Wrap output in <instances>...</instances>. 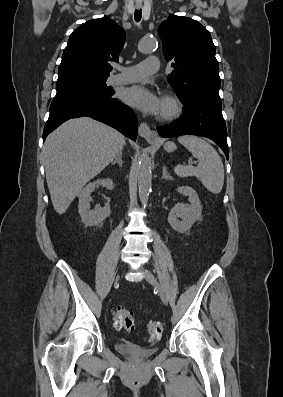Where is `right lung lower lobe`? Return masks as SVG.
<instances>
[{"instance_id":"obj_1","label":"right lung lower lobe","mask_w":283,"mask_h":397,"mask_svg":"<svg viewBox=\"0 0 283 397\" xmlns=\"http://www.w3.org/2000/svg\"><path fill=\"white\" fill-rule=\"evenodd\" d=\"M114 94V93H113ZM92 91L74 90L56 94L43 131V140L68 119L88 116L103 122L132 140L137 137V118L133 111L113 97Z\"/></svg>"}]
</instances>
